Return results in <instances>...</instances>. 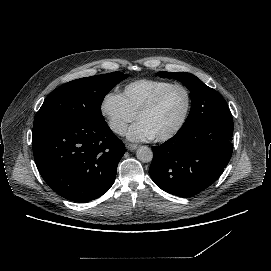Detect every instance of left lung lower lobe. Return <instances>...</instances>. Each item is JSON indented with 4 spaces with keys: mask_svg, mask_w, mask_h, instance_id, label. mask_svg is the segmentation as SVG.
<instances>
[{
    "mask_svg": "<svg viewBox=\"0 0 271 271\" xmlns=\"http://www.w3.org/2000/svg\"><path fill=\"white\" fill-rule=\"evenodd\" d=\"M233 119L213 118L184 127L153 147L149 174L162 190L191 197L212 185L233 151Z\"/></svg>",
    "mask_w": 271,
    "mask_h": 271,
    "instance_id": "left-lung-lower-lobe-1",
    "label": "left lung lower lobe"
}]
</instances>
